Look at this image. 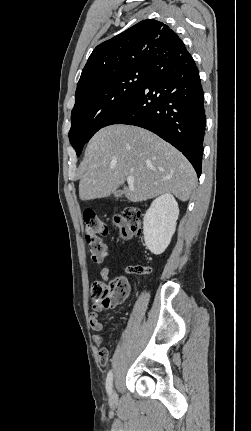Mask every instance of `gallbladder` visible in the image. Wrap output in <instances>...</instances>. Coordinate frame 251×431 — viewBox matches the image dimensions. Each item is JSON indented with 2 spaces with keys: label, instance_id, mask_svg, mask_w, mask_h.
<instances>
[{
  "label": "gallbladder",
  "instance_id": "bac80fb5",
  "mask_svg": "<svg viewBox=\"0 0 251 431\" xmlns=\"http://www.w3.org/2000/svg\"><path fill=\"white\" fill-rule=\"evenodd\" d=\"M114 195H115L116 197H120V196H122V195H123V191H122V190H118V191H116V192L114 193Z\"/></svg>",
  "mask_w": 251,
  "mask_h": 431
}]
</instances>
